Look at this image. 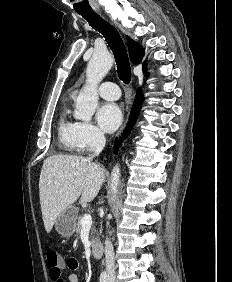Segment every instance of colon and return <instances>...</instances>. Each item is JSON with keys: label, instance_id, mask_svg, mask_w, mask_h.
Segmentation results:
<instances>
[{"label": "colon", "instance_id": "5ec220e1", "mask_svg": "<svg viewBox=\"0 0 232 282\" xmlns=\"http://www.w3.org/2000/svg\"><path fill=\"white\" fill-rule=\"evenodd\" d=\"M45 261L49 272L57 276L61 273L62 260L58 252L50 246L45 248Z\"/></svg>", "mask_w": 232, "mask_h": 282}]
</instances>
